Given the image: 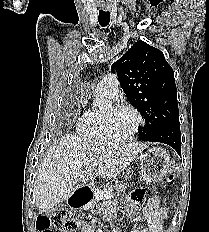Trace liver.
Returning a JSON list of instances; mask_svg holds the SVG:
<instances>
[{"label":"liver","instance_id":"6515ba94","mask_svg":"<svg viewBox=\"0 0 209 232\" xmlns=\"http://www.w3.org/2000/svg\"><path fill=\"white\" fill-rule=\"evenodd\" d=\"M146 148L140 143H105L66 135L49 149L36 179L39 213L52 209L68 199L93 172V161L99 163L95 176L117 177Z\"/></svg>","mask_w":209,"mask_h":232}]
</instances>
